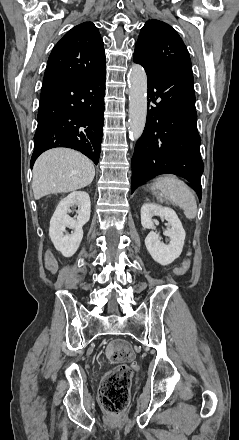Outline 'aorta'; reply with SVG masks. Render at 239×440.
I'll return each instance as SVG.
<instances>
[{"mask_svg":"<svg viewBox=\"0 0 239 440\" xmlns=\"http://www.w3.org/2000/svg\"><path fill=\"white\" fill-rule=\"evenodd\" d=\"M130 134L138 140L143 134L147 116V78L139 64H132L129 72Z\"/></svg>","mask_w":239,"mask_h":440,"instance_id":"aorta-1","label":"aorta"}]
</instances>
